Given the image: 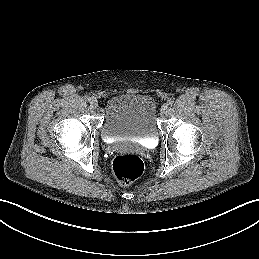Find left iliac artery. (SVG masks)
<instances>
[{
	"mask_svg": "<svg viewBox=\"0 0 259 259\" xmlns=\"http://www.w3.org/2000/svg\"><path fill=\"white\" fill-rule=\"evenodd\" d=\"M173 102H174L173 99H168V100H167V104H168V105H172Z\"/></svg>",
	"mask_w": 259,
	"mask_h": 259,
	"instance_id": "44dca946",
	"label": "left iliac artery"
}]
</instances>
